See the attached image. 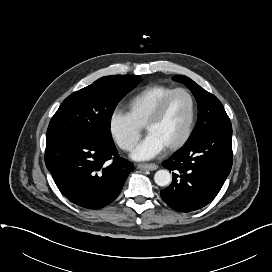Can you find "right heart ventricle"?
Listing matches in <instances>:
<instances>
[{
  "mask_svg": "<svg viewBox=\"0 0 272 272\" xmlns=\"http://www.w3.org/2000/svg\"><path fill=\"white\" fill-rule=\"evenodd\" d=\"M175 87L163 84L150 85L136 93L127 102V113L139 126H145L158 103Z\"/></svg>",
  "mask_w": 272,
  "mask_h": 272,
  "instance_id": "right-heart-ventricle-1",
  "label": "right heart ventricle"
}]
</instances>
